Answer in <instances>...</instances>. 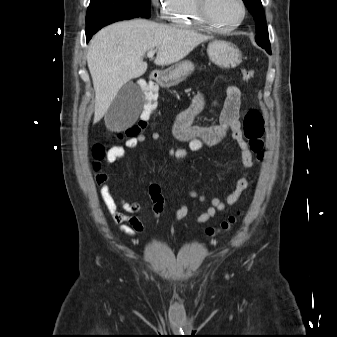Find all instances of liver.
<instances>
[{
	"label": "liver",
	"instance_id": "obj_1",
	"mask_svg": "<svg viewBox=\"0 0 337 337\" xmlns=\"http://www.w3.org/2000/svg\"><path fill=\"white\" fill-rule=\"evenodd\" d=\"M209 38L145 19L117 22L101 29L92 38L87 52L95 90L93 123L102 119L123 85L146 72L143 57L147 52L156 51V65H170Z\"/></svg>",
	"mask_w": 337,
	"mask_h": 337
}]
</instances>
